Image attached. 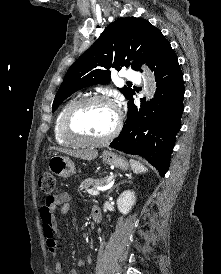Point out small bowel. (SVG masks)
Returning a JSON list of instances; mask_svg holds the SVG:
<instances>
[{
    "label": "small bowel",
    "mask_w": 221,
    "mask_h": 274,
    "mask_svg": "<svg viewBox=\"0 0 221 274\" xmlns=\"http://www.w3.org/2000/svg\"><path fill=\"white\" fill-rule=\"evenodd\" d=\"M69 200L70 195L67 193L49 196L40 208V218L46 246L53 256L57 255L59 242L62 240L57 228L56 211L59 209L60 213L65 215L69 210ZM54 271L55 274L62 272V264L60 261H56ZM68 274H78V271L71 269Z\"/></svg>",
    "instance_id": "small-bowel-1"
}]
</instances>
